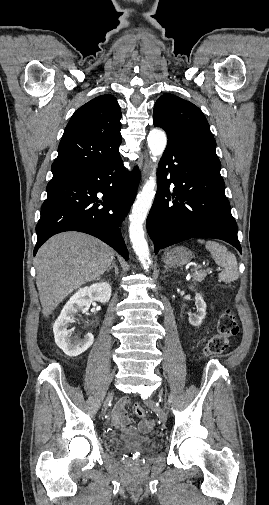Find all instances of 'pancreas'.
Masks as SVG:
<instances>
[{"instance_id":"cf45deb5","label":"pancreas","mask_w":269,"mask_h":505,"mask_svg":"<svg viewBox=\"0 0 269 505\" xmlns=\"http://www.w3.org/2000/svg\"><path fill=\"white\" fill-rule=\"evenodd\" d=\"M207 275L206 270L195 271L192 273V280L194 282H202Z\"/></svg>"}]
</instances>
